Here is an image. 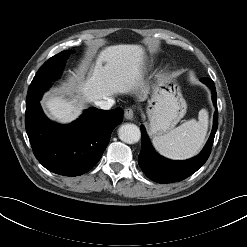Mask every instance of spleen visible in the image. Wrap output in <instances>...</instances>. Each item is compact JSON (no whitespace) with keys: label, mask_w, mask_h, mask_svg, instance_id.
<instances>
[{"label":"spleen","mask_w":247,"mask_h":247,"mask_svg":"<svg viewBox=\"0 0 247 247\" xmlns=\"http://www.w3.org/2000/svg\"><path fill=\"white\" fill-rule=\"evenodd\" d=\"M207 130L208 112L201 109L198 120H188L166 134L154 136L153 145L165 157L175 160L187 159L201 150Z\"/></svg>","instance_id":"3e777b00"}]
</instances>
